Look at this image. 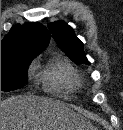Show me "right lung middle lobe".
I'll return each instance as SVG.
<instances>
[{
  "mask_svg": "<svg viewBox=\"0 0 123 130\" xmlns=\"http://www.w3.org/2000/svg\"><path fill=\"white\" fill-rule=\"evenodd\" d=\"M36 54L13 56L1 60V91L22 88L28 79L27 68Z\"/></svg>",
  "mask_w": 123,
  "mask_h": 130,
  "instance_id": "obj_1",
  "label": "right lung middle lobe"
}]
</instances>
